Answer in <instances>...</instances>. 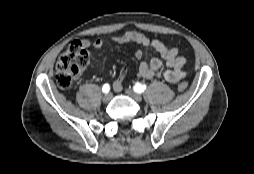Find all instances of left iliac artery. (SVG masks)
<instances>
[{"label": "left iliac artery", "instance_id": "left-iliac-artery-1", "mask_svg": "<svg viewBox=\"0 0 254 174\" xmlns=\"http://www.w3.org/2000/svg\"><path fill=\"white\" fill-rule=\"evenodd\" d=\"M133 89H134V91L137 92V93H142V92H144V90L146 89V85L137 82V83L135 84V86L133 87Z\"/></svg>", "mask_w": 254, "mask_h": 174}]
</instances>
